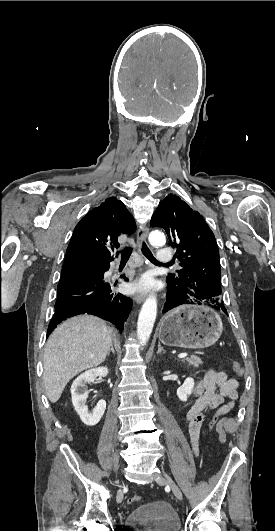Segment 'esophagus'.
Masks as SVG:
<instances>
[{
  "mask_svg": "<svg viewBox=\"0 0 275 531\" xmlns=\"http://www.w3.org/2000/svg\"><path fill=\"white\" fill-rule=\"evenodd\" d=\"M149 234V229L146 226L138 229L137 232V245L141 248L143 241L147 238ZM134 299L137 303H141L145 299V293L135 292Z\"/></svg>",
  "mask_w": 275,
  "mask_h": 531,
  "instance_id": "esophagus-1",
  "label": "esophagus"
}]
</instances>
